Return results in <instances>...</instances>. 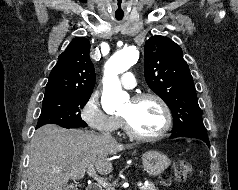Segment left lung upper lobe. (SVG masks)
<instances>
[{"instance_id":"left-lung-upper-lobe-1","label":"left lung upper lobe","mask_w":238,"mask_h":190,"mask_svg":"<svg viewBox=\"0 0 238 190\" xmlns=\"http://www.w3.org/2000/svg\"><path fill=\"white\" fill-rule=\"evenodd\" d=\"M144 75L148 86L171 109L172 133L207 132L196 89L180 46L169 38L152 36L145 43Z\"/></svg>"}]
</instances>
